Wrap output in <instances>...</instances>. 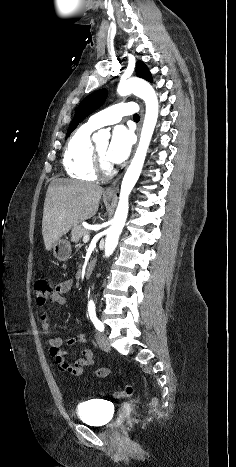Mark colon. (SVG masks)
<instances>
[{"label": "colon", "instance_id": "5ec220e1", "mask_svg": "<svg viewBox=\"0 0 236 467\" xmlns=\"http://www.w3.org/2000/svg\"><path fill=\"white\" fill-rule=\"evenodd\" d=\"M35 292H36V300L39 305H44L52 295V287L48 280L46 279H39L35 283ZM133 394V387L131 385H126L120 391L114 393V396L117 398L121 397H128ZM156 401H152V405H155Z\"/></svg>", "mask_w": 236, "mask_h": 467}]
</instances>
